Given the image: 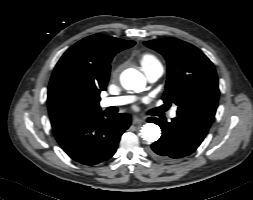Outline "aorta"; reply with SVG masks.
I'll return each instance as SVG.
<instances>
[{"instance_id": "1", "label": "aorta", "mask_w": 253, "mask_h": 200, "mask_svg": "<svg viewBox=\"0 0 253 200\" xmlns=\"http://www.w3.org/2000/svg\"><path fill=\"white\" fill-rule=\"evenodd\" d=\"M121 83L125 89L142 91L145 87V77L136 70L126 71L121 78ZM141 137L151 143L157 141L161 136L160 127L154 123H146L141 127Z\"/></svg>"}]
</instances>
